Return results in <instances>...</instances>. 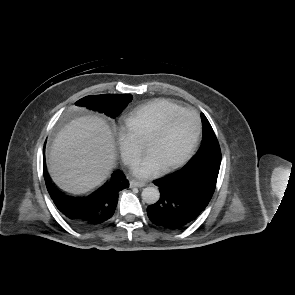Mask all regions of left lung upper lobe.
<instances>
[{
    "label": "left lung upper lobe",
    "instance_id": "5c2ea615",
    "mask_svg": "<svg viewBox=\"0 0 295 295\" xmlns=\"http://www.w3.org/2000/svg\"><path fill=\"white\" fill-rule=\"evenodd\" d=\"M201 118L203 124L202 146L200 152L195 157H193L188 165L194 164L197 160L205 156H221L218 140L209 121L203 113L201 114Z\"/></svg>",
    "mask_w": 295,
    "mask_h": 295
}]
</instances>
